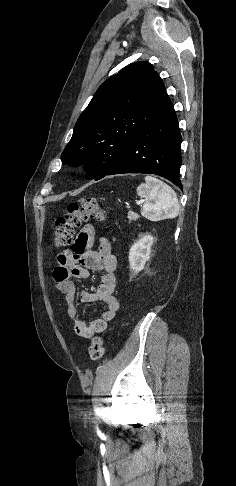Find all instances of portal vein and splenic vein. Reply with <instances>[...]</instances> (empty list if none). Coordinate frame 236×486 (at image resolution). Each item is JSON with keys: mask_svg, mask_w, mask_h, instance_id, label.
<instances>
[{"mask_svg": "<svg viewBox=\"0 0 236 486\" xmlns=\"http://www.w3.org/2000/svg\"><path fill=\"white\" fill-rule=\"evenodd\" d=\"M143 203V200H140V201H137L136 204L137 205H141Z\"/></svg>", "mask_w": 236, "mask_h": 486, "instance_id": "portal-vein-and-splenic-vein-1", "label": "portal vein and splenic vein"}]
</instances>
